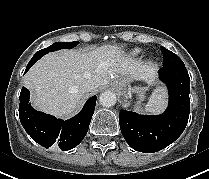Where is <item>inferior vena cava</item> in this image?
Returning <instances> with one entry per match:
<instances>
[{
    "mask_svg": "<svg viewBox=\"0 0 209 179\" xmlns=\"http://www.w3.org/2000/svg\"><path fill=\"white\" fill-rule=\"evenodd\" d=\"M94 87H95L94 82L91 80H87L83 82V84L81 85V90L86 93L92 91Z\"/></svg>",
    "mask_w": 209,
    "mask_h": 179,
    "instance_id": "inferior-vena-cava-1",
    "label": "inferior vena cava"
}]
</instances>
